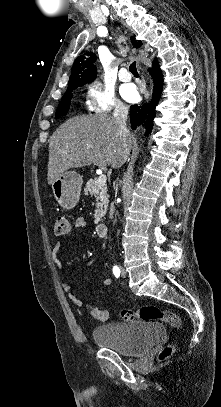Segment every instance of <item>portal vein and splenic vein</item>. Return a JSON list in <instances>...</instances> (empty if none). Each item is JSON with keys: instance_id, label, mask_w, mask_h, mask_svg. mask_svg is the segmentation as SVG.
<instances>
[{"instance_id": "portal-vein-and-splenic-vein-1", "label": "portal vein and splenic vein", "mask_w": 221, "mask_h": 407, "mask_svg": "<svg viewBox=\"0 0 221 407\" xmlns=\"http://www.w3.org/2000/svg\"><path fill=\"white\" fill-rule=\"evenodd\" d=\"M106 181H107L106 175H105V174H101V175H99V177H98L97 184H98V186H103V185L106 184Z\"/></svg>"}]
</instances>
